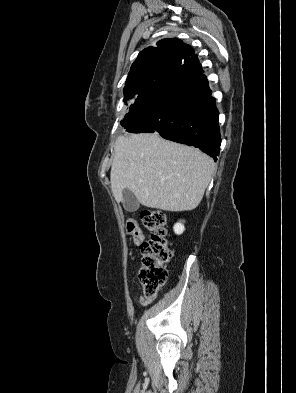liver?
<instances>
[{
  "instance_id": "6515ba94",
  "label": "liver",
  "mask_w": 296,
  "mask_h": 393,
  "mask_svg": "<svg viewBox=\"0 0 296 393\" xmlns=\"http://www.w3.org/2000/svg\"><path fill=\"white\" fill-rule=\"evenodd\" d=\"M214 168V161L194 147L165 140L157 133L129 134L115 142L111 189L117 202H123V190L128 189L149 208L193 210Z\"/></svg>"
}]
</instances>
